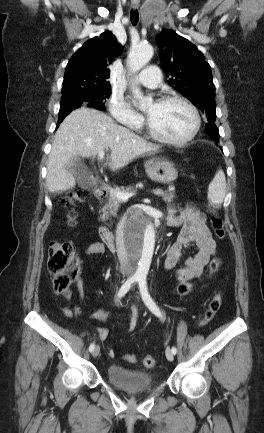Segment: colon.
Wrapping results in <instances>:
<instances>
[{
    "mask_svg": "<svg viewBox=\"0 0 264 433\" xmlns=\"http://www.w3.org/2000/svg\"><path fill=\"white\" fill-rule=\"evenodd\" d=\"M89 197L87 189L79 188L74 190L65 200L64 205L68 208L73 207L76 203H81ZM208 211L212 214L210 219L211 227L217 238L223 239L225 237V230L223 227V220L215 213L213 207H209ZM75 219V214L70 211L68 214V222L72 224ZM48 268L53 276L54 291L58 295L65 296L74 279L79 273V259L76 253L75 246L70 241H55L52 242L48 249ZM221 266V260L218 257L213 258L208 267V274L215 273ZM193 289L190 282L178 283L176 292L179 296L189 294ZM222 304V296L217 293L210 301L207 310L200 321V325L204 326L209 323ZM142 363L147 368H152L156 364L154 357L146 355L142 359Z\"/></svg>",
    "mask_w": 264,
    "mask_h": 433,
    "instance_id": "1",
    "label": "colon"
}]
</instances>
